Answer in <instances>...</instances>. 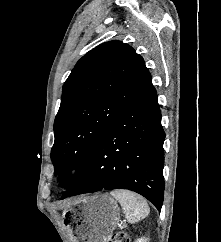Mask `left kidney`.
<instances>
[{"label":"left kidney","mask_w":221,"mask_h":242,"mask_svg":"<svg viewBox=\"0 0 221 242\" xmlns=\"http://www.w3.org/2000/svg\"><path fill=\"white\" fill-rule=\"evenodd\" d=\"M135 242H147V239L145 237L137 239Z\"/></svg>","instance_id":"obj_1"}]
</instances>
